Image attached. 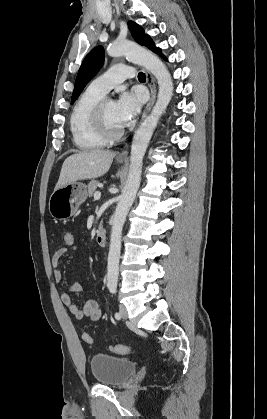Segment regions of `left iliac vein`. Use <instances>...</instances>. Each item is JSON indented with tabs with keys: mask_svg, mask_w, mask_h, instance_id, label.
<instances>
[{
	"mask_svg": "<svg viewBox=\"0 0 267 419\" xmlns=\"http://www.w3.org/2000/svg\"><path fill=\"white\" fill-rule=\"evenodd\" d=\"M120 314L124 319H127L128 313H127V309L124 305H120Z\"/></svg>",
	"mask_w": 267,
	"mask_h": 419,
	"instance_id": "4c4485c4",
	"label": "left iliac vein"
}]
</instances>
